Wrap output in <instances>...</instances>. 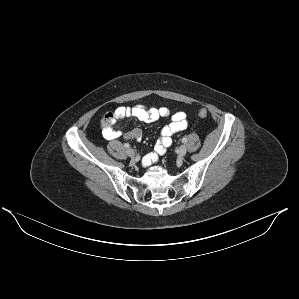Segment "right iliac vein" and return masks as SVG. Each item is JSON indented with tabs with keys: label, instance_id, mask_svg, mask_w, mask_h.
<instances>
[{
	"label": "right iliac vein",
	"instance_id": "right-iliac-vein-1",
	"mask_svg": "<svg viewBox=\"0 0 299 299\" xmlns=\"http://www.w3.org/2000/svg\"><path fill=\"white\" fill-rule=\"evenodd\" d=\"M127 155L131 158H133L135 156V151L133 149H128L127 150Z\"/></svg>",
	"mask_w": 299,
	"mask_h": 299
}]
</instances>
